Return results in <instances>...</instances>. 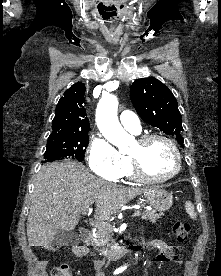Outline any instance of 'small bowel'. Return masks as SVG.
I'll use <instances>...</instances> for the list:
<instances>
[{
	"label": "small bowel",
	"instance_id": "small-bowel-1",
	"mask_svg": "<svg viewBox=\"0 0 221 276\" xmlns=\"http://www.w3.org/2000/svg\"><path fill=\"white\" fill-rule=\"evenodd\" d=\"M150 246L156 248L158 250V254L153 257L150 261H148L143 276H148L152 266L155 263L163 262V261H173V262H180V249L175 246L167 245L165 242L161 240H153L149 243ZM74 254L79 258H91L90 251L83 246H75L73 248ZM94 267L97 271V276H104L103 274V266L104 262L101 260H94Z\"/></svg>",
	"mask_w": 221,
	"mask_h": 276
}]
</instances>
